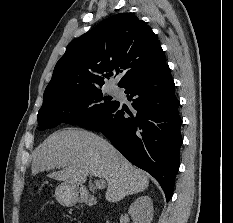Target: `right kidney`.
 Listing matches in <instances>:
<instances>
[{"label": "right kidney", "mask_w": 233, "mask_h": 223, "mask_svg": "<svg viewBox=\"0 0 233 223\" xmlns=\"http://www.w3.org/2000/svg\"><path fill=\"white\" fill-rule=\"evenodd\" d=\"M128 213L133 223H151L153 219V201L149 195H140L131 203Z\"/></svg>", "instance_id": "obj_1"}]
</instances>
